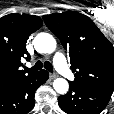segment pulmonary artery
I'll return each instance as SVG.
<instances>
[{
  "mask_svg": "<svg viewBox=\"0 0 114 114\" xmlns=\"http://www.w3.org/2000/svg\"><path fill=\"white\" fill-rule=\"evenodd\" d=\"M54 65L56 69L66 78L72 80L74 78L71 70L68 67L65 56L58 52L54 56Z\"/></svg>",
  "mask_w": 114,
  "mask_h": 114,
  "instance_id": "pulmonary-artery-1",
  "label": "pulmonary artery"
}]
</instances>
